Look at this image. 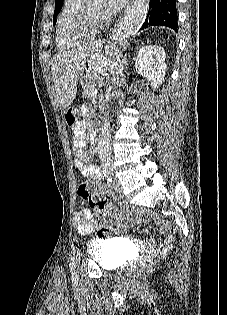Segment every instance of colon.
<instances>
[{"instance_id":"1","label":"colon","mask_w":227,"mask_h":315,"mask_svg":"<svg viewBox=\"0 0 227 315\" xmlns=\"http://www.w3.org/2000/svg\"><path fill=\"white\" fill-rule=\"evenodd\" d=\"M78 111L75 108H69L65 111V121L69 127H73L77 124ZM78 196L87 202V204L95 210L96 216L101 218L98 221L99 226H102L98 231L100 237H109L118 230V224L116 222H110L111 207L110 202L112 195L101 189L88 190L86 183L81 182L77 189ZM153 266V260L151 258H144L139 260L133 269L135 276H140L150 270Z\"/></svg>"}]
</instances>
